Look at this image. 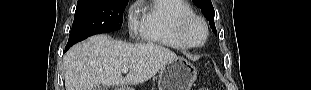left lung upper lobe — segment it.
<instances>
[{
  "label": "left lung upper lobe",
  "instance_id": "5c2ea615",
  "mask_svg": "<svg viewBox=\"0 0 311 90\" xmlns=\"http://www.w3.org/2000/svg\"><path fill=\"white\" fill-rule=\"evenodd\" d=\"M194 3L201 8L204 16L209 20L210 27L212 31L217 35V31L214 23L215 11L211 0H194Z\"/></svg>",
  "mask_w": 311,
  "mask_h": 90
}]
</instances>
